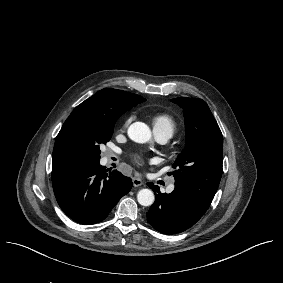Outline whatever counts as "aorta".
Segmentation results:
<instances>
[{
    "label": "aorta",
    "mask_w": 283,
    "mask_h": 283,
    "mask_svg": "<svg viewBox=\"0 0 283 283\" xmlns=\"http://www.w3.org/2000/svg\"><path fill=\"white\" fill-rule=\"evenodd\" d=\"M128 136L137 143H146L151 139L150 128L143 122H135L128 128ZM138 203L142 206H151L155 201V196L150 189H141L137 194Z\"/></svg>",
    "instance_id": "762f6f07"
}]
</instances>
